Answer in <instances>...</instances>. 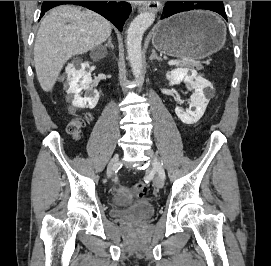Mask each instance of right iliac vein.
<instances>
[{
  "label": "right iliac vein",
  "mask_w": 271,
  "mask_h": 266,
  "mask_svg": "<svg viewBox=\"0 0 271 266\" xmlns=\"http://www.w3.org/2000/svg\"><path fill=\"white\" fill-rule=\"evenodd\" d=\"M118 163H119V155H116L109 162L108 169H107L108 177H110L113 174V172L117 169Z\"/></svg>",
  "instance_id": "right-iliac-vein-1"
}]
</instances>
